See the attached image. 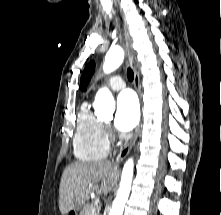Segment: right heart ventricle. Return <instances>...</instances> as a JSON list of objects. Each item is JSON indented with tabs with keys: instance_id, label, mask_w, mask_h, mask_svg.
<instances>
[{
	"instance_id": "e07e8e85",
	"label": "right heart ventricle",
	"mask_w": 221,
	"mask_h": 215,
	"mask_svg": "<svg viewBox=\"0 0 221 215\" xmlns=\"http://www.w3.org/2000/svg\"><path fill=\"white\" fill-rule=\"evenodd\" d=\"M73 153L80 161H96L108 153L103 123L84 102L78 112L73 136Z\"/></svg>"
}]
</instances>
